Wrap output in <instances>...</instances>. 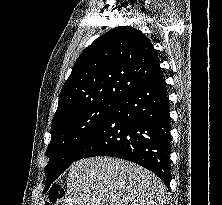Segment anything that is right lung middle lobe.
<instances>
[{
    "mask_svg": "<svg viewBox=\"0 0 222 205\" xmlns=\"http://www.w3.org/2000/svg\"><path fill=\"white\" fill-rule=\"evenodd\" d=\"M120 101H107L79 110L55 123L51 127V141L46 155V184L50 185L74 161Z\"/></svg>",
    "mask_w": 222,
    "mask_h": 205,
    "instance_id": "dd1d6c3e",
    "label": "right lung middle lobe"
}]
</instances>
